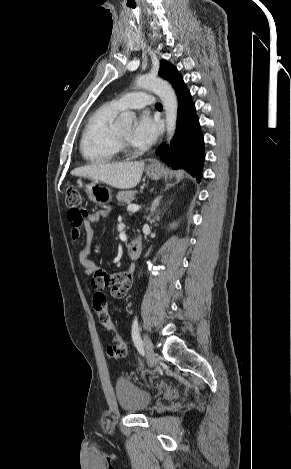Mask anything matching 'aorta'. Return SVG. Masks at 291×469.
<instances>
[{
	"mask_svg": "<svg viewBox=\"0 0 291 469\" xmlns=\"http://www.w3.org/2000/svg\"><path fill=\"white\" fill-rule=\"evenodd\" d=\"M135 85L139 89L150 90L160 97L165 109L167 136L170 141L174 136L177 124L178 101L174 90L166 81L151 75L137 77ZM134 117L135 115L131 112H123L115 124L119 128L130 129Z\"/></svg>",
	"mask_w": 291,
	"mask_h": 469,
	"instance_id": "1",
	"label": "aorta"
}]
</instances>
